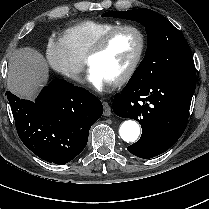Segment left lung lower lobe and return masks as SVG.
<instances>
[{
    "label": "left lung lower lobe",
    "mask_w": 209,
    "mask_h": 209,
    "mask_svg": "<svg viewBox=\"0 0 209 209\" xmlns=\"http://www.w3.org/2000/svg\"><path fill=\"white\" fill-rule=\"evenodd\" d=\"M195 88V66L154 80L130 79L113 100L116 115L133 118L142 127L139 141L127 149L143 159L167 151L186 128Z\"/></svg>",
    "instance_id": "1"
}]
</instances>
